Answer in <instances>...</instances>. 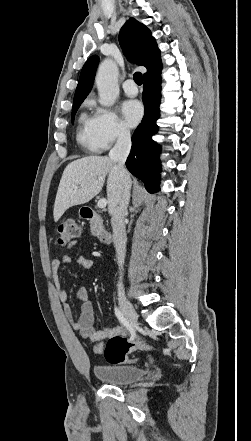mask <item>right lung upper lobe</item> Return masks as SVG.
<instances>
[{
  "label": "right lung upper lobe",
  "mask_w": 251,
  "mask_h": 441,
  "mask_svg": "<svg viewBox=\"0 0 251 441\" xmlns=\"http://www.w3.org/2000/svg\"><path fill=\"white\" fill-rule=\"evenodd\" d=\"M120 46L127 59L137 65L146 67L144 78L162 69L160 51L150 30L135 18H130L119 33ZM99 58L91 56L84 64L74 102L84 100L92 89Z\"/></svg>",
  "instance_id": "right-lung-upper-lobe-1"
}]
</instances>
